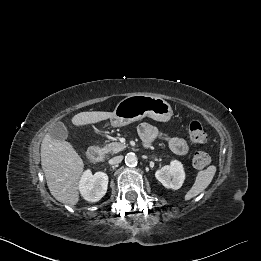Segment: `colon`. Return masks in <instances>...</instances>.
Returning <instances> with one entry per match:
<instances>
[{
    "label": "colon",
    "instance_id": "5ec220e1",
    "mask_svg": "<svg viewBox=\"0 0 261 261\" xmlns=\"http://www.w3.org/2000/svg\"><path fill=\"white\" fill-rule=\"evenodd\" d=\"M188 138L192 144H203L206 141V133L199 119H193L188 127ZM193 163L197 167H205L210 163V156L204 151L196 152Z\"/></svg>",
    "mask_w": 261,
    "mask_h": 261
}]
</instances>
